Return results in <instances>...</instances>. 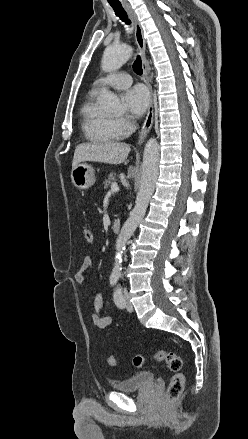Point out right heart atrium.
Returning <instances> with one entry per match:
<instances>
[{"label":"right heart atrium","instance_id":"d8ad5b80","mask_svg":"<svg viewBox=\"0 0 248 439\" xmlns=\"http://www.w3.org/2000/svg\"><path fill=\"white\" fill-rule=\"evenodd\" d=\"M114 124H115L116 129L122 135L129 134L134 128V124L129 119H127L125 117H119V118L114 119Z\"/></svg>","mask_w":248,"mask_h":439}]
</instances>
